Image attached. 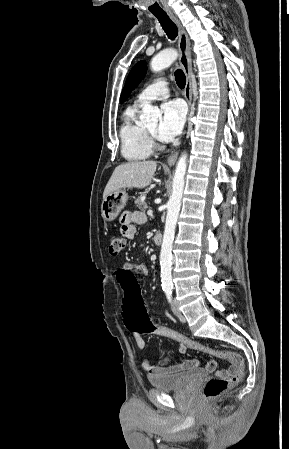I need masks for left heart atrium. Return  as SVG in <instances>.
Here are the masks:
<instances>
[{"mask_svg": "<svg viewBox=\"0 0 289 449\" xmlns=\"http://www.w3.org/2000/svg\"><path fill=\"white\" fill-rule=\"evenodd\" d=\"M162 117L157 135L163 142L173 141L180 134L185 121V108L180 101L173 100L162 104Z\"/></svg>", "mask_w": 289, "mask_h": 449, "instance_id": "1", "label": "left heart atrium"}]
</instances>
